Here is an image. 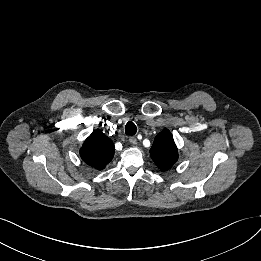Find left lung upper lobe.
Listing matches in <instances>:
<instances>
[{"instance_id":"obj_1","label":"left lung upper lobe","mask_w":261,"mask_h":261,"mask_svg":"<svg viewBox=\"0 0 261 261\" xmlns=\"http://www.w3.org/2000/svg\"><path fill=\"white\" fill-rule=\"evenodd\" d=\"M150 156L162 171H167L176 163L178 160V150L168 129H163L155 137L150 149Z\"/></svg>"}]
</instances>
